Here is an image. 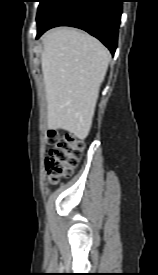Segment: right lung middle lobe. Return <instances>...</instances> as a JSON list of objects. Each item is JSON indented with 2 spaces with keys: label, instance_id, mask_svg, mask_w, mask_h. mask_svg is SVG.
I'll return each instance as SVG.
<instances>
[{
  "label": "right lung middle lobe",
  "instance_id": "1",
  "mask_svg": "<svg viewBox=\"0 0 158 275\" xmlns=\"http://www.w3.org/2000/svg\"><path fill=\"white\" fill-rule=\"evenodd\" d=\"M57 2V0H40L37 12V23L44 17L48 10Z\"/></svg>",
  "mask_w": 158,
  "mask_h": 275
}]
</instances>
